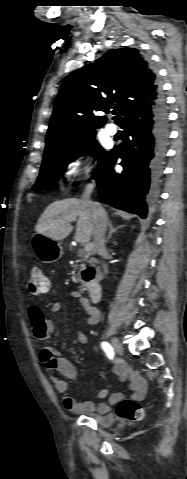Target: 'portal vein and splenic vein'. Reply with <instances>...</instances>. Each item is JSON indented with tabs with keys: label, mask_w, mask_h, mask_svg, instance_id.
Segmentation results:
<instances>
[{
	"label": "portal vein and splenic vein",
	"mask_w": 187,
	"mask_h": 479,
	"mask_svg": "<svg viewBox=\"0 0 187 479\" xmlns=\"http://www.w3.org/2000/svg\"><path fill=\"white\" fill-rule=\"evenodd\" d=\"M92 249H93V245L90 244V243H87V244L84 246V250H85L86 252H90Z\"/></svg>",
	"instance_id": "18ae733b"
}]
</instances>
